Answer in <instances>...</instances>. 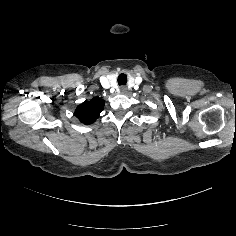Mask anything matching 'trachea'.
Returning <instances> with one entry per match:
<instances>
[{
  "instance_id": "obj_1",
  "label": "trachea",
  "mask_w": 236,
  "mask_h": 236,
  "mask_svg": "<svg viewBox=\"0 0 236 236\" xmlns=\"http://www.w3.org/2000/svg\"><path fill=\"white\" fill-rule=\"evenodd\" d=\"M117 82L119 85H126L127 83V76L126 74H120L117 78Z\"/></svg>"
}]
</instances>
